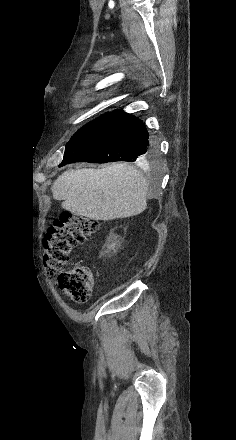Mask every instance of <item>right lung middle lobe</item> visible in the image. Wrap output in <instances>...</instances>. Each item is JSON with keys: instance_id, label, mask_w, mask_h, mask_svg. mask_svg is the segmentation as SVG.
Returning a JSON list of instances; mask_svg holds the SVG:
<instances>
[{"instance_id": "1", "label": "right lung middle lobe", "mask_w": 236, "mask_h": 440, "mask_svg": "<svg viewBox=\"0 0 236 440\" xmlns=\"http://www.w3.org/2000/svg\"><path fill=\"white\" fill-rule=\"evenodd\" d=\"M106 114L102 115L101 117L93 120L92 122L86 124L85 126H83L82 128H80L72 137L71 139H73L74 137H76L78 134H80L81 132L85 131L86 129L90 128L92 125H94L97 121H99L102 117H104ZM70 139V140H71ZM156 160V155L154 152H150L147 156H145L142 159V163L143 164H148V163H153Z\"/></svg>"}]
</instances>
